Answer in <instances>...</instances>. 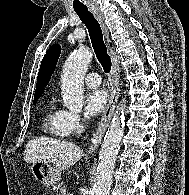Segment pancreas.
Segmentation results:
<instances>
[{
  "mask_svg": "<svg viewBox=\"0 0 189 195\" xmlns=\"http://www.w3.org/2000/svg\"><path fill=\"white\" fill-rule=\"evenodd\" d=\"M65 187V184L64 183H57L55 186H54V192L56 195H63L62 194V189Z\"/></svg>",
  "mask_w": 189,
  "mask_h": 195,
  "instance_id": "1",
  "label": "pancreas"
}]
</instances>
